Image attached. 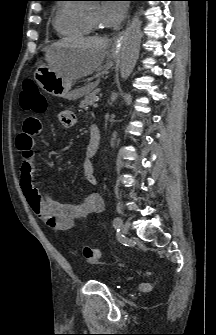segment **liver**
Listing matches in <instances>:
<instances>
[{
	"label": "liver",
	"instance_id": "1",
	"mask_svg": "<svg viewBox=\"0 0 216 335\" xmlns=\"http://www.w3.org/2000/svg\"><path fill=\"white\" fill-rule=\"evenodd\" d=\"M53 45L78 49L62 71L74 80L91 75L100 68L106 55L108 39L91 37L72 40L65 38Z\"/></svg>",
	"mask_w": 216,
	"mask_h": 335
}]
</instances>
